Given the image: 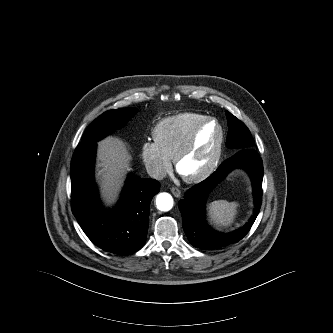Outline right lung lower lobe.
<instances>
[{"mask_svg": "<svg viewBox=\"0 0 333 333\" xmlns=\"http://www.w3.org/2000/svg\"><path fill=\"white\" fill-rule=\"evenodd\" d=\"M96 143L79 144L71 162L72 212L88 238L99 248L128 254L146 241L149 207L160 184L129 176L114 210L105 211L93 181Z\"/></svg>", "mask_w": 333, "mask_h": 333, "instance_id": "1", "label": "right lung lower lobe"}]
</instances>
